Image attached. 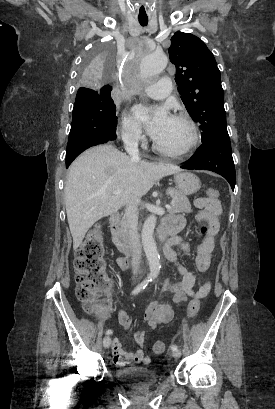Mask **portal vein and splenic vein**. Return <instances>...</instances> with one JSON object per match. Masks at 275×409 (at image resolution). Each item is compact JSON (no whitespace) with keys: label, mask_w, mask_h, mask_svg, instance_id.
<instances>
[{"label":"portal vein and splenic vein","mask_w":275,"mask_h":409,"mask_svg":"<svg viewBox=\"0 0 275 409\" xmlns=\"http://www.w3.org/2000/svg\"><path fill=\"white\" fill-rule=\"evenodd\" d=\"M121 190H114L113 194H119ZM166 209H171V205H165Z\"/></svg>","instance_id":"18ae733b"}]
</instances>
